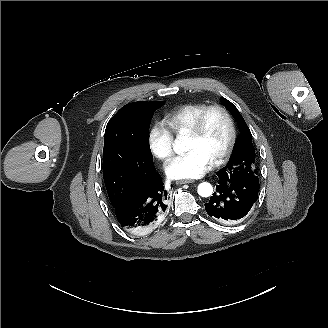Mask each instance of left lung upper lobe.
<instances>
[{
	"instance_id": "obj_1",
	"label": "left lung upper lobe",
	"mask_w": 328,
	"mask_h": 328,
	"mask_svg": "<svg viewBox=\"0 0 328 328\" xmlns=\"http://www.w3.org/2000/svg\"><path fill=\"white\" fill-rule=\"evenodd\" d=\"M222 101L236 119L242 134L240 135L237 144L234 146L228 164L220 170V173L225 176L233 175L236 177L256 179L258 178V172L255 163V150L252 145L251 132L238 109L229 100L222 99Z\"/></svg>"
}]
</instances>
